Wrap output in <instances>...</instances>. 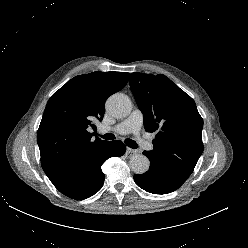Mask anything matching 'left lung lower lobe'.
Segmentation results:
<instances>
[{"label":"left lung lower lobe","mask_w":248,"mask_h":248,"mask_svg":"<svg viewBox=\"0 0 248 248\" xmlns=\"http://www.w3.org/2000/svg\"><path fill=\"white\" fill-rule=\"evenodd\" d=\"M148 157L146 151L143 152ZM136 184L153 194H167L178 189L184 181L176 177L169 169L150 160V168L144 174L134 175Z\"/></svg>","instance_id":"left-lung-lower-lobe-1"}]
</instances>
